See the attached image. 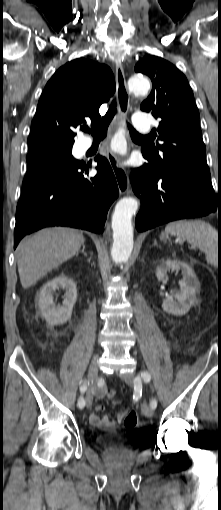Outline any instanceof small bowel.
<instances>
[{
	"label": "small bowel",
	"instance_id": "c3829d8e",
	"mask_svg": "<svg viewBox=\"0 0 221 510\" xmlns=\"http://www.w3.org/2000/svg\"><path fill=\"white\" fill-rule=\"evenodd\" d=\"M97 394L99 396L103 395L102 388H99L97 390ZM103 412H104L103 405L95 406L94 411L89 416V422L94 427L99 428L101 430H105V431L115 429L117 426H119L127 414V410H125V411L118 412L115 415V417H110L108 415L102 416L101 414Z\"/></svg>",
	"mask_w": 221,
	"mask_h": 510
}]
</instances>
